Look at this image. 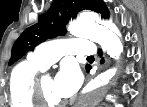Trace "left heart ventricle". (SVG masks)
<instances>
[{"mask_svg": "<svg viewBox=\"0 0 147 107\" xmlns=\"http://www.w3.org/2000/svg\"><path fill=\"white\" fill-rule=\"evenodd\" d=\"M54 82L55 79L51 76H44L42 80L43 93L49 102H61L64 98L59 96L55 91Z\"/></svg>", "mask_w": 147, "mask_h": 107, "instance_id": "b2bd125f", "label": "left heart ventricle"}]
</instances>
